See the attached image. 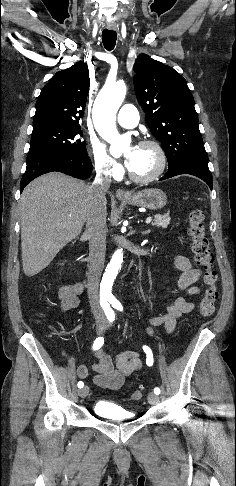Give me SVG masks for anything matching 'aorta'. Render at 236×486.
Instances as JSON below:
<instances>
[{
	"mask_svg": "<svg viewBox=\"0 0 236 486\" xmlns=\"http://www.w3.org/2000/svg\"><path fill=\"white\" fill-rule=\"evenodd\" d=\"M126 85L123 82L106 83L93 107L94 125L101 137L110 144V153L115 154L123 148V137L116 128V113L121 106L125 95ZM123 262L122 249L115 251L110 263L107 265L100 284L101 296H110L112 293L113 282L118 274Z\"/></svg>",
	"mask_w": 236,
	"mask_h": 486,
	"instance_id": "1",
	"label": "aorta"
}]
</instances>
